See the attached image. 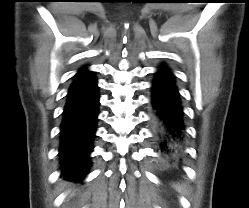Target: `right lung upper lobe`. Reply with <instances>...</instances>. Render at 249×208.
<instances>
[{"mask_svg": "<svg viewBox=\"0 0 249 208\" xmlns=\"http://www.w3.org/2000/svg\"><path fill=\"white\" fill-rule=\"evenodd\" d=\"M88 73H91L89 71H86L85 69H81L76 75H75V78L76 77H79L81 75H84V74H88Z\"/></svg>", "mask_w": 249, "mask_h": 208, "instance_id": "obj_1", "label": "right lung upper lobe"}]
</instances>
